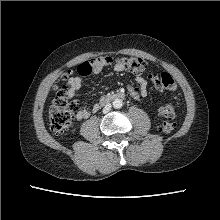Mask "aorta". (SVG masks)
<instances>
[{
  "label": "aorta",
  "mask_w": 220,
  "mask_h": 220,
  "mask_svg": "<svg viewBox=\"0 0 220 220\" xmlns=\"http://www.w3.org/2000/svg\"><path fill=\"white\" fill-rule=\"evenodd\" d=\"M112 104L115 109H120L123 106L121 99H115Z\"/></svg>",
  "instance_id": "1"
}]
</instances>
